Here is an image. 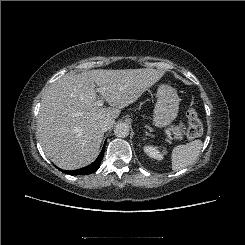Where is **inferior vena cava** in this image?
I'll return each instance as SVG.
<instances>
[{"instance_id": "obj_1", "label": "inferior vena cava", "mask_w": 245, "mask_h": 245, "mask_svg": "<svg viewBox=\"0 0 245 245\" xmlns=\"http://www.w3.org/2000/svg\"><path fill=\"white\" fill-rule=\"evenodd\" d=\"M114 124V120L112 118L101 120L99 123V127L103 132L108 131L111 126Z\"/></svg>"}]
</instances>
